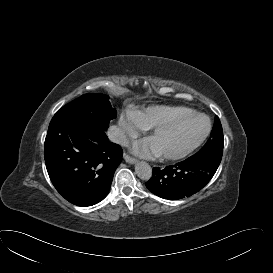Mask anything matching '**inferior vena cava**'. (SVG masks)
<instances>
[{"instance_id":"602c4592","label":"inferior vena cava","mask_w":273,"mask_h":273,"mask_svg":"<svg viewBox=\"0 0 273 273\" xmlns=\"http://www.w3.org/2000/svg\"><path fill=\"white\" fill-rule=\"evenodd\" d=\"M108 138L110 141L121 144V145H126L128 143V139L122 129H120L117 126H111L108 130Z\"/></svg>"}]
</instances>
